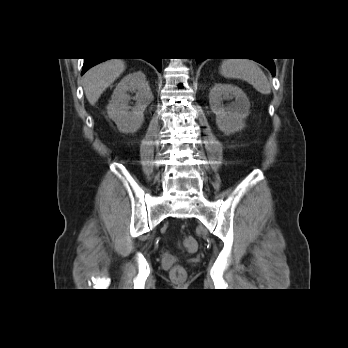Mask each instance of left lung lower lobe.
Masks as SVG:
<instances>
[{
  "instance_id": "left-lung-lower-lobe-1",
  "label": "left lung lower lobe",
  "mask_w": 348,
  "mask_h": 348,
  "mask_svg": "<svg viewBox=\"0 0 348 348\" xmlns=\"http://www.w3.org/2000/svg\"><path fill=\"white\" fill-rule=\"evenodd\" d=\"M202 60L204 59H196L197 63L201 62ZM254 60L263 64L272 72L273 75H275V65L272 59H261V60L254 59Z\"/></svg>"
}]
</instances>
